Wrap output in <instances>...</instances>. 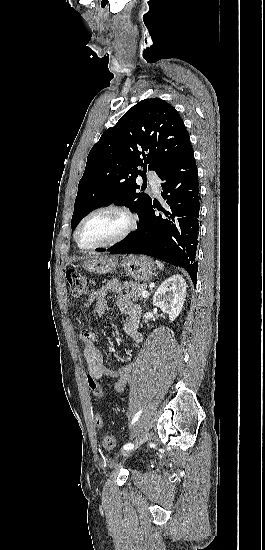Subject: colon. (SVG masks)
<instances>
[{
	"label": "colon",
	"mask_w": 265,
	"mask_h": 550,
	"mask_svg": "<svg viewBox=\"0 0 265 550\" xmlns=\"http://www.w3.org/2000/svg\"><path fill=\"white\" fill-rule=\"evenodd\" d=\"M66 279L69 285V292L71 296L75 298L82 297L85 294L92 291V282L80 271L69 270L66 273ZM87 382L93 395H96L99 398H101L102 390L99 382L93 379L92 377H88ZM95 418H96V424L98 426H101L103 424L102 417L96 416ZM102 445L104 448L112 449L115 446L114 436L105 435L102 441Z\"/></svg>",
	"instance_id": "5ec220e1"
}]
</instances>
